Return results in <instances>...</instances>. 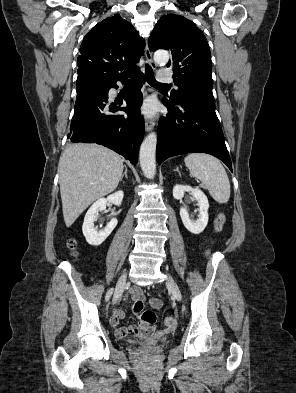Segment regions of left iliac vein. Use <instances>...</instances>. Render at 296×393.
<instances>
[{
    "instance_id": "4c4485c4",
    "label": "left iliac vein",
    "mask_w": 296,
    "mask_h": 393,
    "mask_svg": "<svg viewBox=\"0 0 296 393\" xmlns=\"http://www.w3.org/2000/svg\"><path fill=\"white\" fill-rule=\"evenodd\" d=\"M166 286L174 298H176L177 300L182 299L181 291L175 280L170 275H167Z\"/></svg>"
}]
</instances>
